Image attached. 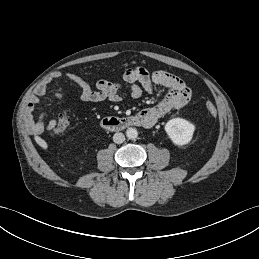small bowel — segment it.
<instances>
[{
  "label": "small bowel",
  "mask_w": 259,
  "mask_h": 259,
  "mask_svg": "<svg viewBox=\"0 0 259 259\" xmlns=\"http://www.w3.org/2000/svg\"><path fill=\"white\" fill-rule=\"evenodd\" d=\"M53 78L66 79L78 84L81 88V99L86 102L105 100L119 102L121 100L120 92L124 85L128 86L133 98H139L143 91L152 92L155 87L167 88L168 92L156 106L143 109L138 113L147 120L146 127H151L171 111L184 107L192 96L190 87L178 76L163 70L150 72L143 67L127 68L123 72L121 83L99 80L95 88H92L79 75L71 72H58L54 74ZM46 91V85L38 86L27 104L25 121L30 132L35 135L44 131H52L57 123L54 118H48L45 122L46 115L44 114L40 115L38 119L34 118V110L40 102V97L45 95ZM56 99H59L58 94H56Z\"/></svg>",
  "instance_id": "1"
}]
</instances>
